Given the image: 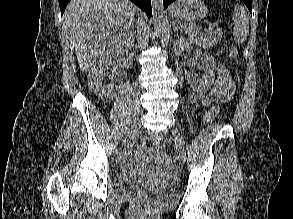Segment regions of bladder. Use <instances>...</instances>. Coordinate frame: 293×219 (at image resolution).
Returning <instances> with one entry per match:
<instances>
[{
    "label": "bladder",
    "instance_id": "obj_1",
    "mask_svg": "<svg viewBox=\"0 0 293 219\" xmlns=\"http://www.w3.org/2000/svg\"><path fill=\"white\" fill-rule=\"evenodd\" d=\"M113 184L121 192L144 197L163 208L174 206L178 201V191L173 185L155 183L128 172H117Z\"/></svg>",
    "mask_w": 293,
    "mask_h": 219
}]
</instances>
